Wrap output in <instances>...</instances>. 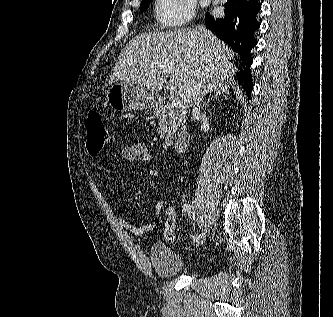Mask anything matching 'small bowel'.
I'll return each instance as SVG.
<instances>
[{
	"mask_svg": "<svg viewBox=\"0 0 333 317\" xmlns=\"http://www.w3.org/2000/svg\"><path fill=\"white\" fill-rule=\"evenodd\" d=\"M151 161L152 156L147 146L141 142H135L121 148L116 168H120L126 164L148 163ZM163 208L164 201L163 199H159L153 209L152 216L157 218L162 212ZM120 224L123 229L134 235H144L153 231L157 226L155 221H151L143 225H136L125 219H121Z\"/></svg>",
	"mask_w": 333,
	"mask_h": 317,
	"instance_id": "c3829d8e",
	"label": "small bowel"
}]
</instances>
